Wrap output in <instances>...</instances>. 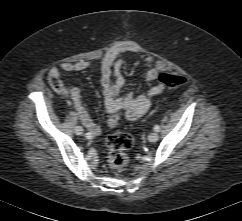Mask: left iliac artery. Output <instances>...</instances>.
<instances>
[{"label":"left iliac artery","mask_w":242,"mask_h":221,"mask_svg":"<svg viewBox=\"0 0 242 221\" xmlns=\"http://www.w3.org/2000/svg\"><path fill=\"white\" fill-rule=\"evenodd\" d=\"M154 130H155L156 132H158V131L160 130V127H159L158 125H156V126L154 127Z\"/></svg>","instance_id":"obj_1"}]
</instances>
